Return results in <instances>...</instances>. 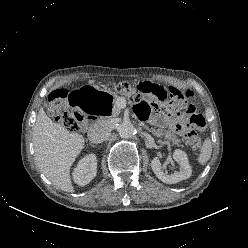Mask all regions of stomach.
I'll use <instances>...</instances> for the list:
<instances>
[{
  "label": "stomach",
  "instance_id": "0dacf381",
  "mask_svg": "<svg viewBox=\"0 0 248 248\" xmlns=\"http://www.w3.org/2000/svg\"><path fill=\"white\" fill-rule=\"evenodd\" d=\"M69 101L75 110L87 111L101 119L111 117L117 108L115 98L97 86L80 85L75 87L70 93Z\"/></svg>",
  "mask_w": 248,
  "mask_h": 248
}]
</instances>
